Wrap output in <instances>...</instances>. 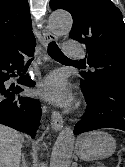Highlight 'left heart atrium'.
I'll list each match as a JSON object with an SVG mask.
<instances>
[{
  "label": "left heart atrium",
  "mask_w": 125,
  "mask_h": 167,
  "mask_svg": "<svg viewBox=\"0 0 125 167\" xmlns=\"http://www.w3.org/2000/svg\"><path fill=\"white\" fill-rule=\"evenodd\" d=\"M37 93L48 101L61 106H68L71 94L65 80L58 74L49 75L40 85Z\"/></svg>",
  "instance_id": "left-heart-atrium-1"
}]
</instances>
